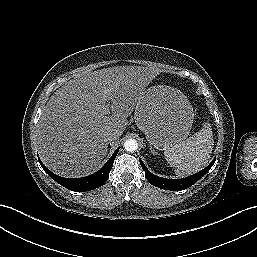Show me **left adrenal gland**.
Instances as JSON below:
<instances>
[{
	"label": "left adrenal gland",
	"instance_id": "left-adrenal-gland-1",
	"mask_svg": "<svg viewBox=\"0 0 257 257\" xmlns=\"http://www.w3.org/2000/svg\"><path fill=\"white\" fill-rule=\"evenodd\" d=\"M150 150L153 154H156L155 150H152V147H150Z\"/></svg>",
	"mask_w": 257,
	"mask_h": 257
}]
</instances>
